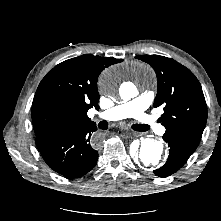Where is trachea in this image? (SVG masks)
Here are the masks:
<instances>
[{"instance_id": "3493384b", "label": "trachea", "mask_w": 221, "mask_h": 221, "mask_svg": "<svg viewBox=\"0 0 221 221\" xmlns=\"http://www.w3.org/2000/svg\"><path fill=\"white\" fill-rule=\"evenodd\" d=\"M101 123H103V124L105 125V126L102 127L103 129H106V128L108 127L107 122L103 121V122H101ZM132 128H133L134 130L140 131V132L148 131V127L145 126V125H143V124H135V125L132 126Z\"/></svg>"}]
</instances>
